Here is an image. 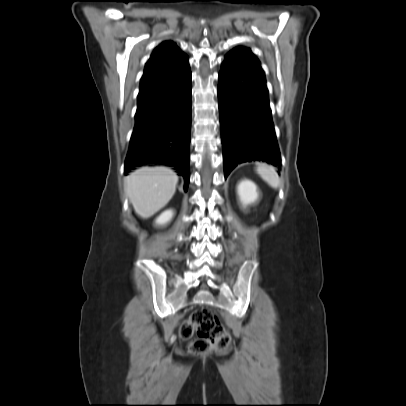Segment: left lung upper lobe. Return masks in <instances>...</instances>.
Wrapping results in <instances>:
<instances>
[{
    "instance_id": "obj_1",
    "label": "left lung upper lobe",
    "mask_w": 406,
    "mask_h": 406,
    "mask_svg": "<svg viewBox=\"0 0 406 406\" xmlns=\"http://www.w3.org/2000/svg\"><path fill=\"white\" fill-rule=\"evenodd\" d=\"M235 49H242V50H247V51L251 52L249 49L244 48V47H237V48H235Z\"/></svg>"
}]
</instances>
